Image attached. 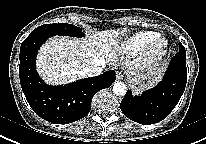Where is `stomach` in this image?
<instances>
[{
    "label": "stomach",
    "instance_id": "0dacf381",
    "mask_svg": "<svg viewBox=\"0 0 206 144\" xmlns=\"http://www.w3.org/2000/svg\"><path fill=\"white\" fill-rule=\"evenodd\" d=\"M163 68H149L143 73H132L129 78L133 91L141 93L144 89L154 86L161 78Z\"/></svg>",
    "mask_w": 206,
    "mask_h": 144
}]
</instances>
